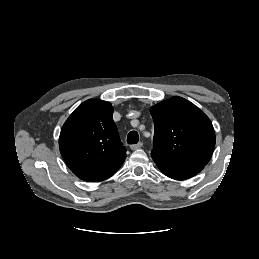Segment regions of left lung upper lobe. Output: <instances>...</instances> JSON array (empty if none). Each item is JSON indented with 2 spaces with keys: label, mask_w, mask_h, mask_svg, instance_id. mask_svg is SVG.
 <instances>
[{
  "label": "left lung upper lobe",
  "mask_w": 259,
  "mask_h": 259,
  "mask_svg": "<svg viewBox=\"0 0 259 259\" xmlns=\"http://www.w3.org/2000/svg\"><path fill=\"white\" fill-rule=\"evenodd\" d=\"M155 132L151 155L207 164L215 147L211 121L198 107L175 96L150 109Z\"/></svg>",
  "instance_id": "1"
}]
</instances>
